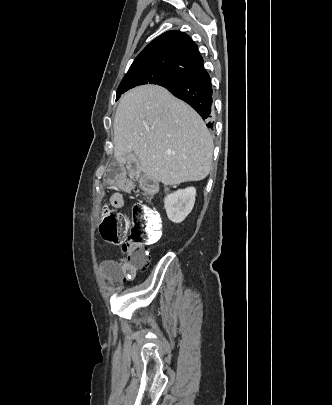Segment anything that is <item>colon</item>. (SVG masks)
I'll return each mask as SVG.
<instances>
[{
    "instance_id": "5ec220e1",
    "label": "colon",
    "mask_w": 332,
    "mask_h": 405,
    "mask_svg": "<svg viewBox=\"0 0 332 405\" xmlns=\"http://www.w3.org/2000/svg\"><path fill=\"white\" fill-rule=\"evenodd\" d=\"M143 190L154 194L155 181L147 175L140 177ZM102 238L109 243H122L121 266L126 273L144 269L148 264L146 243L157 242L162 233V221L158 212L143 203H135L130 217L113 207L104 209L99 226ZM128 238L127 241H124Z\"/></svg>"
}]
</instances>
